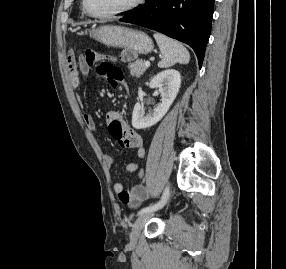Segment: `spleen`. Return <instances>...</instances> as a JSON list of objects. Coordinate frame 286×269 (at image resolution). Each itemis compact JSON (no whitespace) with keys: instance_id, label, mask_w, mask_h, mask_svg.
<instances>
[{"instance_id":"1","label":"spleen","mask_w":286,"mask_h":269,"mask_svg":"<svg viewBox=\"0 0 286 269\" xmlns=\"http://www.w3.org/2000/svg\"><path fill=\"white\" fill-rule=\"evenodd\" d=\"M154 38L163 55L162 59L158 63V67L168 68L173 66L175 63H189L190 54L180 42L161 33H154Z\"/></svg>"}]
</instances>
